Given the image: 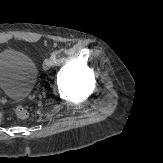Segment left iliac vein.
Returning <instances> with one entry per match:
<instances>
[{
    "label": "left iliac vein",
    "mask_w": 163,
    "mask_h": 163,
    "mask_svg": "<svg viewBox=\"0 0 163 163\" xmlns=\"http://www.w3.org/2000/svg\"><path fill=\"white\" fill-rule=\"evenodd\" d=\"M53 64H54V60H53L52 57H50V58H48V59H46V60L44 61V63H43V69H44L45 71H47V70L50 69V67H51Z\"/></svg>",
    "instance_id": "4c4485c4"
}]
</instances>
